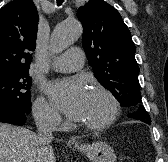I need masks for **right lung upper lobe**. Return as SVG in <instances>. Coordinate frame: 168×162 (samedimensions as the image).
Listing matches in <instances>:
<instances>
[{
    "instance_id": "right-lung-upper-lobe-1",
    "label": "right lung upper lobe",
    "mask_w": 168,
    "mask_h": 162,
    "mask_svg": "<svg viewBox=\"0 0 168 162\" xmlns=\"http://www.w3.org/2000/svg\"><path fill=\"white\" fill-rule=\"evenodd\" d=\"M38 19L31 0H14L0 10V76L28 71Z\"/></svg>"
}]
</instances>
